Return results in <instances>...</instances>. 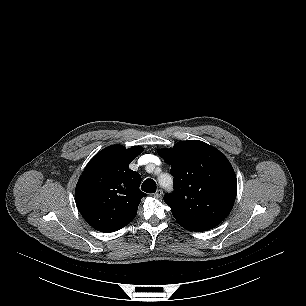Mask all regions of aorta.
I'll list each match as a JSON object with an SVG mask.
<instances>
[{
  "label": "aorta",
  "mask_w": 306,
  "mask_h": 306,
  "mask_svg": "<svg viewBox=\"0 0 306 306\" xmlns=\"http://www.w3.org/2000/svg\"><path fill=\"white\" fill-rule=\"evenodd\" d=\"M159 183L162 187L170 188L172 185V178L170 175L164 174L159 178Z\"/></svg>",
  "instance_id": "1"
}]
</instances>
